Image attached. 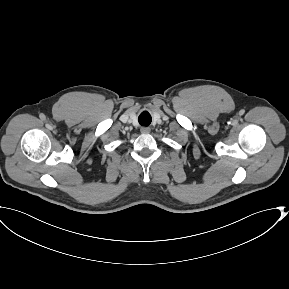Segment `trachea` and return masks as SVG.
<instances>
[{"label":"trachea","instance_id":"3493384b","mask_svg":"<svg viewBox=\"0 0 289 289\" xmlns=\"http://www.w3.org/2000/svg\"><path fill=\"white\" fill-rule=\"evenodd\" d=\"M151 120V115L147 111L142 112L138 117L139 124L142 126L150 125Z\"/></svg>","mask_w":289,"mask_h":289}]
</instances>
